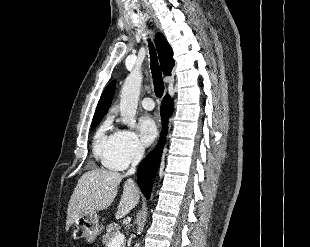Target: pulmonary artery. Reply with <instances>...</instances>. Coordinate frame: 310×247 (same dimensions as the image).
I'll return each mask as SVG.
<instances>
[{
  "label": "pulmonary artery",
  "instance_id": "1",
  "mask_svg": "<svg viewBox=\"0 0 310 247\" xmlns=\"http://www.w3.org/2000/svg\"><path fill=\"white\" fill-rule=\"evenodd\" d=\"M141 104H142L143 108L146 110H152L155 106L153 99L150 97H145L142 100Z\"/></svg>",
  "mask_w": 310,
  "mask_h": 247
}]
</instances>
